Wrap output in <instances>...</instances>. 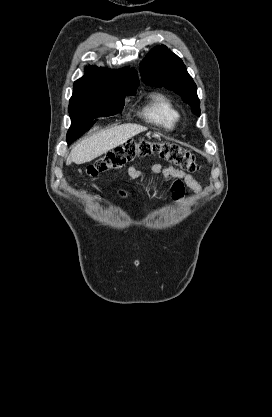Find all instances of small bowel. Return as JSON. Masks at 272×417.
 Masks as SVG:
<instances>
[{"instance_id":"small-bowel-1","label":"small bowel","mask_w":272,"mask_h":417,"mask_svg":"<svg viewBox=\"0 0 272 417\" xmlns=\"http://www.w3.org/2000/svg\"><path fill=\"white\" fill-rule=\"evenodd\" d=\"M128 175L132 179H140L146 173L152 175H160L164 180L171 182V196L175 203H179L185 194V189L192 190L195 194L202 192L200 183L190 174L183 170L176 169L174 167H164L161 164H153L147 171L139 169L135 165H131L127 169ZM83 193V191H82ZM132 191L126 189H120L117 191V195L121 198L127 199L131 195ZM100 197H96L95 202L99 201Z\"/></svg>"}]
</instances>
